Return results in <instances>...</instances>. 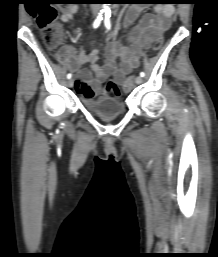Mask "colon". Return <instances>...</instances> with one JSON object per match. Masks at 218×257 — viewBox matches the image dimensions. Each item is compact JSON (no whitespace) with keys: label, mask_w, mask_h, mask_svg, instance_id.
I'll list each match as a JSON object with an SVG mask.
<instances>
[{"label":"colon","mask_w":218,"mask_h":257,"mask_svg":"<svg viewBox=\"0 0 218 257\" xmlns=\"http://www.w3.org/2000/svg\"><path fill=\"white\" fill-rule=\"evenodd\" d=\"M25 10H33L36 23L44 33L47 46L50 49H56L61 41V29L57 24V11L55 5H25ZM162 45V40L158 39L153 44V50L157 51ZM133 86V78H128L124 83V89L130 91ZM105 89H101L104 98H123V89L115 79H106Z\"/></svg>","instance_id":"5ec220e1"}]
</instances>
